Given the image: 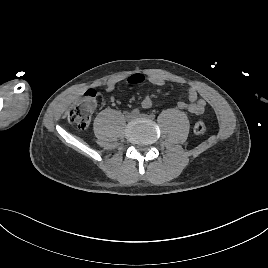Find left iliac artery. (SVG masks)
Here are the masks:
<instances>
[{
    "mask_svg": "<svg viewBox=\"0 0 268 268\" xmlns=\"http://www.w3.org/2000/svg\"><path fill=\"white\" fill-rule=\"evenodd\" d=\"M149 117H150L151 119H154V118H155V115H154V114H150Z\"/></svg>",
    "mask_w": 268,
    "mask_h": 268,
    "instance_id": "44dca946",
    "label": "left iliac artery"
}]
</instances>
